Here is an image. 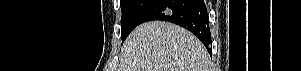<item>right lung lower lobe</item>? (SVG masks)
Listing matches in <instances>:
<instances>
[{"label":"right lung lower lobe","mask_w":301,"mask_h":71,"mask_svg":"<svg viewBox=\"0 0 301 71\" xmlns=\"http://www.w3.org/2000/svg\"><path fill=\"white\" fill-rule=\"evenodd\" d=\"M152 20L172 22L190 30L211 53L209 17L203 0H156L144 13L140 24Z\"/></svg>","instance_id":"1"}]
</instances>
